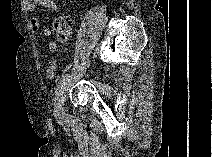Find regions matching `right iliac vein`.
Segmentation results:
<instances>
[{
	"mask_svg": "<svg viewBox=\"0 0 212 157\" xmlns=\"http://www.w3.org/2000/svg\"><path fill=\"white\" fill-rule=\"evenodd\" d=\"M66 88H67V83L64 84V87L63 89L60 91V95H59V101H60V110H59V113L63 112V104H64V101H65V91H66Z\"/></svg>",
	"mask_w": 212,
	"mask_h": 157,
	"instance_id": "right-iliac-vein-1",
	"label": "right iliac vein"
}]
</instances>
